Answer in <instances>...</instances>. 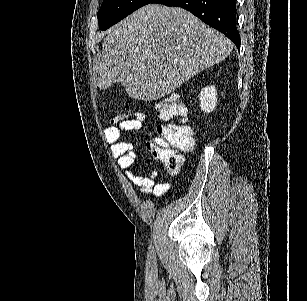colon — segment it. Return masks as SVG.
Here are the masks:
<instances>
[{"instance_id": "obj_1", "label": "colon", "mask_w": 307, "mask_h": 301, "mask_svg": "<svg viewBox=\"0 0 307 301\" xmlns=\"http://www.w3.org/2000/svg\"><path fill=\"white\" fill-rule=\"evenodd\" d=\"M156 110L162 120L169 122L157 126L156 136L148 140L147 147L169 173H176L182 164L180 151H187L194 145L192 129L185 123L186 107L177 95L170 94L158 101ZM124 118L119 114L112 122ZM143 119V114H136L128 120L142 122Z\"/></svg>"}]
</instances>
